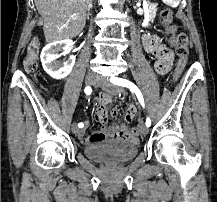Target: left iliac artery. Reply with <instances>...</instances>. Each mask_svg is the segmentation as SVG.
<instances>
[{
  "instance_id": "left-iliac-artery-1",
  "label": "left iliac artery",
  "mask_w": 217,
  "mask_h": 202,
  "mask_svg": "<svg viewBox=\"0 0 217 202\" xmlns=\"http://www.w3.org/2000/svg\"><path fill=\"white\" fill-rule=\"evenodd\" d=\"M111 82L116 84V85L129 88L130 91H132V92H134L136 94V96H137L140 104L142 105V107L143 108L145 107L143 95H142L141 91L138 89V87L134 83H132V82L126 80V79H122V78H116L114 80H111ZM150 125H151V120H150L149 117H147L146 126L150 127Z\"/></svg>"
}]
</instances>
